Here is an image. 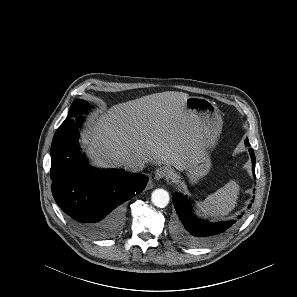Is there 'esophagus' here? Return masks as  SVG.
Here are the masks:
<instances>
[{
	"label": "esophagus",
	"instance_id": "1",
	"mask_svg": "<svg viewBox=\"0 0 297 297\" xmlns=\"http://www.w3.org/2000/svg\"><path fill=\"white\" fill-rule=\"evenodd\" d=\"M170 175H171V171L167 167L161 166L155 172V179L160 180V179L169 177Z\"/></svg>",
	"mask_w": 297,
	"mask_h": 297
}]
</instances>
